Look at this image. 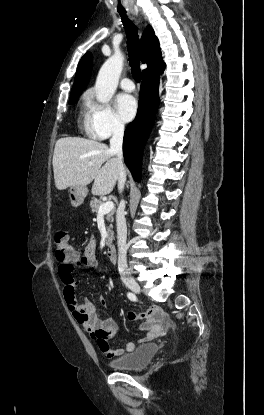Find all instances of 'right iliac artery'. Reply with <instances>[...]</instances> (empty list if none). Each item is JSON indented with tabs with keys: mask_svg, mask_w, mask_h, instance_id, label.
<instances>
[{
	"mask_svg": "<svg viewBox=\"0 0 264 415\" xmlns=\"http://www.w3.org/2000/svg\"><path fill=\"white\" fill-rule=\"evenodd\" d=\"M127 297H128L131 301H136V300H137L136 296H135L133 293H131V292H128V293H127Z\"/></svg>",
	"mask_w": 264,
	"mask_h": 415,
	"instance_id": "right-iliac-artery-1",
	"label": "right iliac artery"
}]
</instances>
